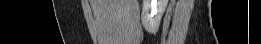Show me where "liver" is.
Masks as SVG:
<instances>
[{
	"mask_svg": "<svg viewBox=\"0 0 261 44\" xmlns=\"http://www.w3.org/2000/svg\"><path fill=\"white\" fill-rule=\"evenodd\" d=\"M98 44H132L138 41L137 0H90Z\"/></svg>",
	"mask_w": 261,
	"mask_h": 44,
	"instance_id": "obj_1",
	"label": "liver"
}]
</instances>
